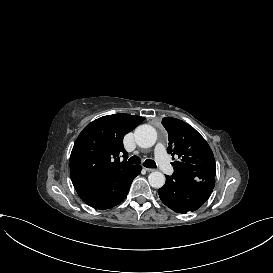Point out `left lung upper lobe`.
<instances>
[{
	"label": "left lung upper lobe",
	"mask_w": 273,
	"mask_h": 273,
	"mask_svg": "<svg viewBox=\"0 0 273 273\" xmlns=\"http://www.w3.org/2000/svg\"><path fill=\"white\" fill-rule=\"evenodd\" d=\"M162 124L168 132L167 152L178 155L174 172L198 181L214 179L216 164L213 152L206 140L189 124L182 120L165 117Z\"/></svg>",
	"instance_id": "left-lung-upper-lobe-1"
}]
</instances>
